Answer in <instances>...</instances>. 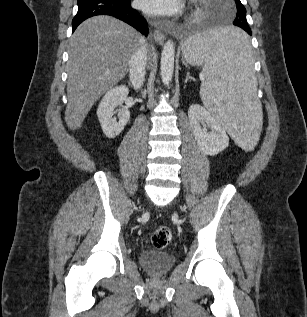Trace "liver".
<instances>
[{
  "mask_svg": "<svg viewBox=\"0 0 307 317\" xmlns=\"http://www.w3.org/2000/svg\"><path fill=\"white\" fill-rule=\"evenodd\" d=\"M140 48L138 32L110 16L81 23L69 42L65 121L79 128L100 96L128 72L132 55Z\"/></svg>",
  "mask_w": 307,
  "mask_h": 317,
  "instance_id": "obj_1",
  "label": "liver"
}]
</instances>
